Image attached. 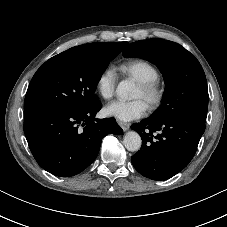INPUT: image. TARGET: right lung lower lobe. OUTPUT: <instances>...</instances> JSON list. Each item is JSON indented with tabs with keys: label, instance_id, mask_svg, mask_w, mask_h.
<instances>
[{
	"label": "right lung lower lobe",
	"instance_id": "98d812e1",
	"mask_svg": "<svg viewBox=\"0 0 227 227\" xmlns=\"http://www.w3.org/2000/svg\"><path fill=\"white\" fill-rule=\"evenodd\" d=\"M100 101L84 108H54L24 118V133L37 163L51 174L69 177L86 169L102 139L122 134L115 118L96 119Z\"/></svg>",
	"mask_w": 227,
	"mask_h": 227
}]
</instances>
